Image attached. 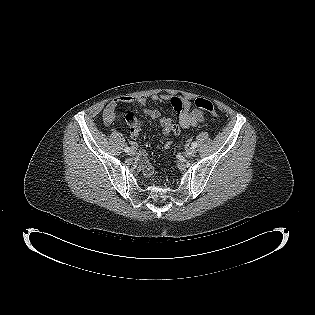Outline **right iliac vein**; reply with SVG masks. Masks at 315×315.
Segmentation results:
<instances>
[{
    "label": "right iliac vein",
    "instance_id": "1",
    "mask_svg": "<svg viewBox=\"0 0 315 315\" xmlns=\"http://www.w3.org/2000/svg\"><path fill=\"white\" fill-rule=\"evenodd\" d=\"M136 153V149L135 148H132L130 151H129V154L130 155H134Z\"/></svg>",
    "mask_w": 315,
    "mask_h": 315
}]
</instances>
